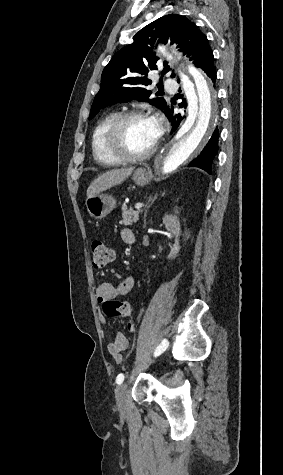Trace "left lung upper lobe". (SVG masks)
Returning <instances> with one entry per match:
<instances>
[{
	"mask_svg": "<svg viewBox=\"0 0 283 475\" xmlns=\"http://www.w3.org/2000/svg\"><path fill=\"white\" fill-rule=\"evenodd\" d=\"M134 42L123 47L114 54L104 68L101 77L100 91L94 98L89 119H92L108 105L128 102L131 100L148 101L162 110L167 102L163 98L149 99L151 91L143 86L151 84L147 79L150 70H157L158 57L152 51L156 41L176 43L180 51L190 56L196 67L204 63L212 54L207 37L197 26L184 16L178 14L165 15L141 29L133 37ZM163 65H167L164 62ZM163 69L162 75L169 71ZM175 77L174 74L171 75ZM161 83V82H160ZM158 84V87L160 85Z\"/></svg>",
	"mask_w": 283,
	"mask_h": 475,
	"instance_id": "obj_1",
	"label": "left lung upper lobe"
}]
</instances>
